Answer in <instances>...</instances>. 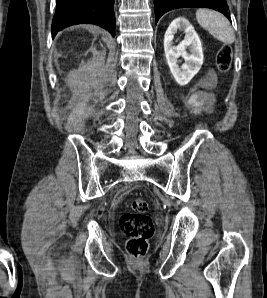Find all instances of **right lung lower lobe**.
I'll return each mask as SVG.
<instances>
[{"label": "right lung lower lobe", "instance_id": "right-lung-lower-lobe-1", "mask_svg": "<svg viewBox=\"0 0 267 298\" xmlns=\"http://www.w3.org/2000/svg\"><path fill=\"white\" fill-rule=\"evenodd\" d=\"M96 24L115 35L114 0H56L52 37L65 27Z\"/></svg>", "mask_w": 267, "mask_h": 298}]
</instances>
